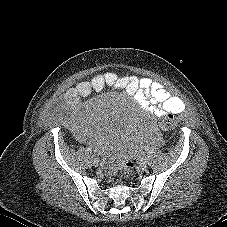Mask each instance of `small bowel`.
I'll use <instances>...</instances> for the list:
<instances>
[{"mask_svg": "<svg viewBox=\"0 0 227 227\" xmlns=\"http://www.w3.org/2000/svg\"><path fill=\"white\" fill-rule=\"evenodd\" d=\"M106 88L134 97L145 113L155 118H162L167 112L178 114L185 107L181 98L151 78L119 76L114 72H105L96 74L90 80L81 81L70 88L62 98L69 109L64 116V124L79 141L89 143L97 149L101 146V139L92 140L89 137L91 121L88 117L89 104L85 99Z\"/></svg>", "mask_w": 227, "mask_h": 227, "instance_id": "1", "label": "small bowel"}]
</instances>
